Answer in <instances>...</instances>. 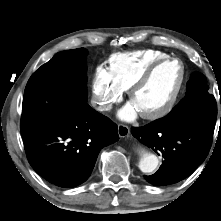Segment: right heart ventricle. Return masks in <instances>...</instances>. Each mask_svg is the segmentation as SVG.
Returning a JSON list of instances; mask_svg holds the SVG:
<instances>
[{
  "label": "right heart ventricle",
  "mask_w": 221,
  "mask_h": 221,
  "mask_svg": "<svg viewBox=\"0 0 221 221\" xmlns=\"http://www.w3.org/2000/svg\"><path fill=\"white\" fill-rule=\"evenodd\" d=\"M165 57L169 54L155 49L116 53L108 59V71L123 90H128L152 63Z\"/></svg>",
  "instance_id": "1"
}]
</instances>
